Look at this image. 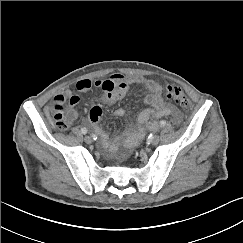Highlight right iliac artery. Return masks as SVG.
<instances>
[{
	"mask_svg": "<svg viewBox=\"0 0 243 243\" xmlns=\"http://www.w3.org/2000/svg\"><path fill=\"white\" fill-rule=\"evenodd\" d=\"M81 132H82L83 134H86V133H87V129H86V128H82V129H81Z\"/></svg>",
	"mask_w": 243,
	"mask_h": 243,
	"instance_id": "obj_1",
	"label": "right iliac artery"
}]
</instances>
